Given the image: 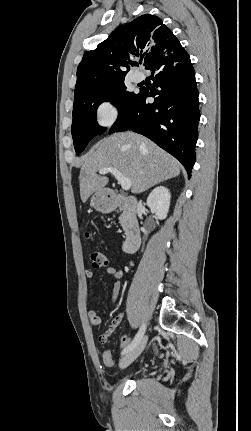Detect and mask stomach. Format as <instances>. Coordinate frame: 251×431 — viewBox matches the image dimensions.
I'll use <instances>...</instances> for the list:
<instances>
[{
	"instance_id": "obj_1",
	"label": "stomach",
	"mask_w": 251,
	"mask_h": 431,
	"mask_svg": "<svg viewBox=\"0 0 251 431\" xmlns=\"http://www.w3.org/2000/svg\"><path fill=\"white\" fill-rule=\"evenodd\" d=\"M91 206L101 213H110L116 207L113 195L105 189L96 191L91 197Z\"/></svg>"
}]
</instances>
